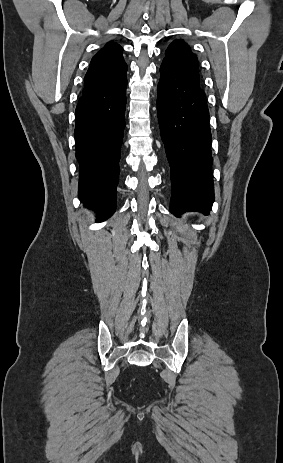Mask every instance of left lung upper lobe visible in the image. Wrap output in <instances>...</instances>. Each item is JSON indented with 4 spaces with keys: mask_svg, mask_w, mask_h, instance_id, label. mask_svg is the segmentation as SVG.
<instances>
[{
    "mask_svg": "<svg viewBox=\"0 0 283 463\" xmlns=\"http://www.w3.org/2000/svg\"><path fill=\"white\" fill-rule=\"evenodd\" d=\"M164 60L176 67L180 72L199 83L198 60L183 40L171 43L165 52Z\"/></svg>",
    "mask_w": 283,
    "mask_h": 463,
    "instance_id": "left-lung-upper-lobe-1",
    "label": "left lung upper lobe"
}]
</instances>
